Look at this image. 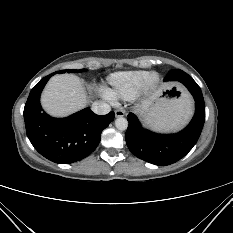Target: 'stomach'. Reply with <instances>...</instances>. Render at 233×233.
<instances>
[{"label":"stomach","instance_id":"obj_1","mask_svg":"<svg viewBox=\"0 0 233 233\" xmlns=\"http://www.w3.org/2000/svg\"><path fill=\"white\" fill-rule=\"evenodd\" d=\"M191 114L192 104L188 96L174 85H168L159 91L144 114V121L156 130L175 131L186 124Z\"/></svg>","mask_w":233,"mask_h":233}]
</instances>
